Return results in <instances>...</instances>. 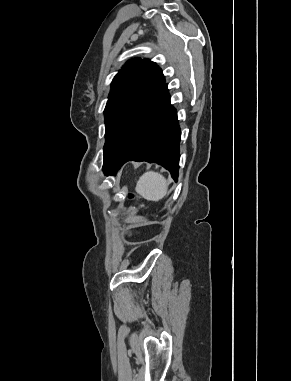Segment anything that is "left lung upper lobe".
Instances as JSON below:
<instances>
[{
  "mask_svg": "<svg viewBox=\"0 0 291 381\" xmlns=\"http://www.w3.org/2000/svg\"><path fill=\"white\" fill-rule=\"evenodd\" d=\"M164 86L162 70L148 59L130 60L116 74L104 110V159L123 138L146 104Z\"/></svg>",
  "mask_w": 291,
  "mask_h": 381,
  "instance_id": "obj_1",
  "label": "left lung upper lobe"
}]
</instances>
